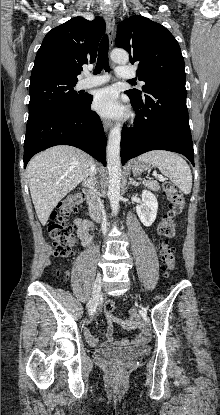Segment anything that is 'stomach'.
Listing matches in <instances>:
<instances>
[{
  "mask_svg": "<svg viewBox=\"0 0 220 415\" xmlns=\"http://www.w3.org/2000/svg\"><path fill=\"white\" fill-rule=\"evenodd\" d=\"M149 168L147 164L141 163L139 161H134L132 164V170L135 172H142Z\"/></svg>",
  "mask_w": 220,
  "mask_h": 415,
  "instance_id": "0dacf381",
  "label": "stomach"
}]
</instances>
